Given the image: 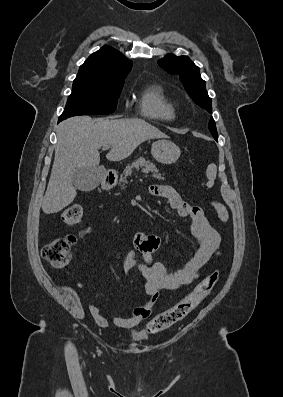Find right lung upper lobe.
<instances>
[{"instance_id":"obj_1","label":"right lung upper lobe","mask_w":283,"mask_h":397,"mask_svg":"<svg viewBox=\"0 0 283 397\" xmlns=\"http://www.w3.org/2000/svg\"><path fill=\"white\" fill-rule=\"evenodd\" d=\"M132 62L110 46H104L91 54L80 66L77 76L103 80L120 81L131 71Z\"/></svg>"}]
</instances>
